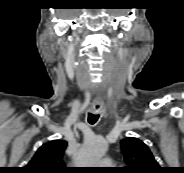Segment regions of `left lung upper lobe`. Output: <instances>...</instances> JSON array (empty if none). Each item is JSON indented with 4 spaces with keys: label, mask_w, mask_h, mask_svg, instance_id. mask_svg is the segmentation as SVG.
<instances>
[{
    "label": "left lung upper lobe",
    "mask_w": 184,
    "mask_h": 173,
    "mask_svg": "<svg viewBox=\"0 0 184 173\" xmlns=\"http://www.w3.org/2000/svg\"><path fill=\"white\" fill-rule=\"evenodd\" d=\"M127 167L123 173H161V167L154 159L149 148L139 139L128 137L121 141Z\"/></svg>",
    "instance_id": "obj_1"
}]
</instances>
